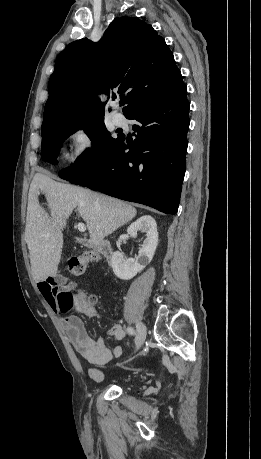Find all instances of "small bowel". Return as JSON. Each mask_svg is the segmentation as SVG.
I'll list each match as a JSON object with an SVG mask.
<instances>
[{
	"instance_id": "c3829d8e",
	"label": "small bowel",
	"mask_w": 261,
	"mask_h": 459,
	"mask_svg": "<svg viewBox=\"0 0 261 459\" xmlns=\"http://www.w3.org/2000/svg\"><path fill=\"white\" fill-rule=\"evenodd\" d=\"M88 254L91 255L92 261L101 262L99 254L95 252ZM54 285L61 286L53 288ZM38 288L48 305L59 317L60 323L66 331L74 349L84 360L92 366H104L113 358L118 359L121 357L123 350L120 345H117L113 350L109 349L104 338L95 340L90 335L80 317L62 312V300L66 295L71 294L74 283L67 282L61 276H53L40 281ZM81 312L89 318L97 315L95 308L81 309ZM108 335L121 341L125 338V331L120 324H114L109 330ZM88 374L96 382H101L104 379V373L95 367L89 368Z\"/></svg>"
}]
</instances>
